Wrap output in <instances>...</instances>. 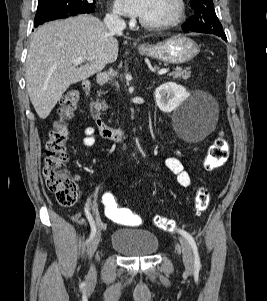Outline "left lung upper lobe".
I'll return each mask as SVG.
<instances>
[{"label":"left lung upper lobe","mask_w":267,"mask_h":301,"mask_svg":"<svg viewBox=\"0 0 267 301\" xmlns=\"http://www.w3.org/2000/svg\"><path fill=\"white\" fill-rule=\"evenodd\" d=\"M190 4L195 15L189 18L183 28L201 33L224 34L212 0H190Z\"/></svg>","instance_id":"1"}]
</instances>
